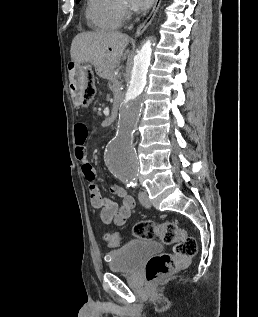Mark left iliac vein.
Listing matches in <instances>:
<instances>
[{"mask_svg":"<svg viewBox=\"0 0 258 317\" xmlns=\"http://www.w3.org/2000/svg\"><path fill=\"white\" fill-rule=\"evenodd\" d=\"M148 197L149 196L147 193H145L144 191H139V194H138L139 201L141 203H144L147 208H152V203H150V200Z\"/></svg>","mask_w":258,"mask_h":317,"instance_id":"4c4485c4","label":"left iliac vein"}]
</instances>
